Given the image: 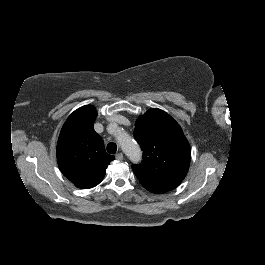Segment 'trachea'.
I'll use <instances>...</instances> for the list:
<instances>
[{
  "label": "trachea",
  "instance_id": "obj_1",
  "mask_svg": "<svg viewBox=\"0 0 265 265\" xmlns=\"http://www.w3.org/2000/svg\"><path fill=\"white\" fill-rule=\"evenodd\" d=\"M107 151L110 154H115L117 151V145L115 143H109L107 145Z\"/></svg>",
  "mask_w": 265,
  "mask_h": 265
}]
</instances>
